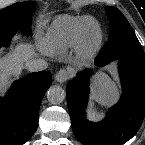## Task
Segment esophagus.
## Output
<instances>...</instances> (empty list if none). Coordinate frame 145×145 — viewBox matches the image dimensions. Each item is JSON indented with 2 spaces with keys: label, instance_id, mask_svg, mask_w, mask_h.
I'll use <instances>...</instances> for the list:
<instances>
[{
  "label": "esophagus",
  "instance_id": "1",
  "mask_svg": "<svg viewBox=\"0 0 145 145\" xmlns=\"http://www.w3.org/2000/svg\"><path fill=\"white\" fill-rule=\"evenodd\" d=\"M68 77H69V73L65 69H61L56 73L55 80L59 84H63L68 80Z\"/></svg>",
  "mask_w": 145,
  "mask_h": 145
}]
</instances>
